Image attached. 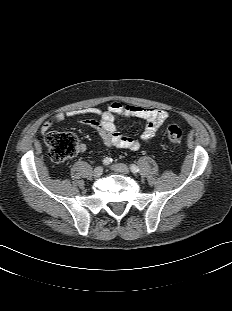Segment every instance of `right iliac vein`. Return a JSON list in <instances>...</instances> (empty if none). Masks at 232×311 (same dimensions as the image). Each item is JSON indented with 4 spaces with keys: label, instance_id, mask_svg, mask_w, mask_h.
Returning <instances> with one entry per match:
<instances>
[{
    "label": "right iliac vein",
    "instance_id": "1",
    "mask_svg": "<svg viewBox=\"0 0 232 311\" xmlns=\"http://www.w3.org/2000/svg\"><path fill=\"white\" fill-rule=\"evenodd\" d=\"M103 174V168L101 166L96 167L93 171V176L99 178Z\"/></svg>",
    "mask_w": 232,
    "mask_h": 311
}]
</instances>
